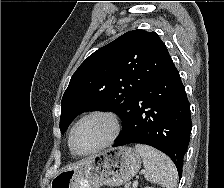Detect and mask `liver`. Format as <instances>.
<instances>
[{
    "instance_id": "liver-1",
    "label": "liver",
    "mask_w": 224,
    "mask_h": 188,
    "mask_svg": "<svg viewBox=\"0 0 224 188\" xmlns=\"http://www.w3.org/2000/svg\"><path fill=\"white\" fill-rule=\"evenodd\" d=\"M91 160H92V157H89V158H87V159L78 161V162L74 163L73 165H71V166L65 168L64 170H70V169L77 168V167H79V166H81V165H84V164L90 162ZM64 170H63V171H64Z\"/></svg>"
}]
</instances>
